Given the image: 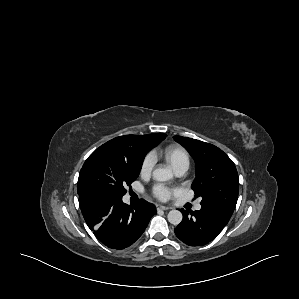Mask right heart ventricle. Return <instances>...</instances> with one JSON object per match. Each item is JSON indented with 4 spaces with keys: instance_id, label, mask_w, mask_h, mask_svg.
<instances>
[{
    "instance_id": "1",
    "label": "right heart ventricle",
    "mask_w": 299,
    "mask_h": 299,
    "mask_svg": "<svg viewBox=\"0 0 299 299\" xmlns=\"http://www.w3.org/2000/svg\"><path fill=\"white\" fill-rule=\"evenodd\" d=\"M163 156L167 163L174 169L180 167L188 168L190 157L185 148L178 145H171L164 149Z\"/></svg>"
}]
</instances>
